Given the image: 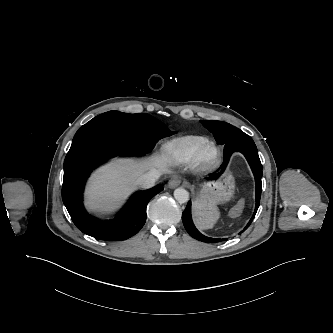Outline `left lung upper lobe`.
Masks as SVG:
<instances>
[{"mask_svg":"<svg viewBox=\"0 0 333 333\" xmlns=\"http://www.w3.org/2000/svg\"><path fill=\"white\" fill-rule=\"evenodd\" d=\"M201 123L213 133L214 138L221 145H225L234 134L240 131L226 122L202 120Z\"/></svg>","mask_w":333,"mask_h":333,"instance_id":"1","label":"left lung upper lobe"}]
</instances>
